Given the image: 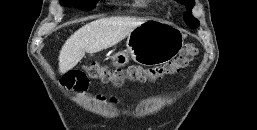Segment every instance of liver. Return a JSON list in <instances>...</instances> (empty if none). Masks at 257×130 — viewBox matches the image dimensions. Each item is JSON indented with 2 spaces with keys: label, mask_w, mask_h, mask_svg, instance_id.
<instances>
[{
  "label": "liver",
  "mask_w": 257,
  "mask_h": 130,
  "mask_svg": "<svg viewBox=\"0 0 257 130\" xmlns=\"http://www.w3.org/2000/svg\"><path fill=\"white\" fill-rule=\"evenodd\" d=\"M148 19L110 17L92 21L72 34L59 52V72L74 68L85 53H97L119 43Z\"/></svg>",
  "instance_id": "obj_1"
}]
</instances>
